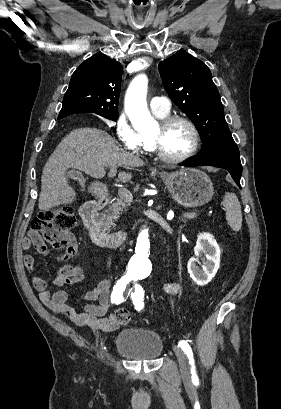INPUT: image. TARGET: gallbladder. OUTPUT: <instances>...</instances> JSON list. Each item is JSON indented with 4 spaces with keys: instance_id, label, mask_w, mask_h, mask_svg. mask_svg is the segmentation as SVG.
Returning <instances> with one entry per match:
<instances>
[{
    "instance_id": "obj_1",
    "label": "gallbladder",
    "mask_w": 281,
    "mask_h": 409,
    "mask_svg": "<svg viewBox=\"0 0 281 409\" xmlns=\"http://www.w3.org/2000/svg\"><path fill=\"white\" fill-rule=\"evenodd\" d=\"M77 174H79V172H76V170H71L70 172L71 178H76Z\"/></svg>"
}]
</instances>
